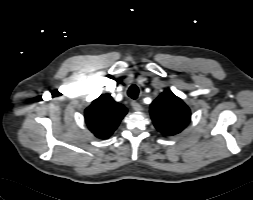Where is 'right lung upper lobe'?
Returning a JSON list of instances; mask_svg holds the SVG:
<instances>
[{
  "label": "right lung upper lobe",
  "mask_w": 253,
  "mask_h": 200,
  "mask_svg": "<svg viewBox=\"0 0 253 200\" xmlns=\"http://www.w3.org/2000/svg\"><path fill=\"white\" fill-rule=\"evenodd\" d=\"M126 113L127 109L115 102L110 94H102L85 109V121L96 137L106 139L112 135Z\"/></svg>",
  "instance_id": "right-lung-upper-lobe-1"
}]
</instances>
